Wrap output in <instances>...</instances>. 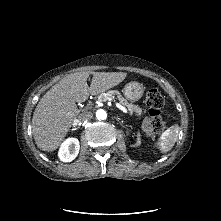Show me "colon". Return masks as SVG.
<instances>
[{"label": "colon", "mask_w": 221, "mask_h": 221, "mask_svg": "<svg viewBox=\"0 0 221 221\" xmlns=\"http://www.w3.org/2000/svg\"><path fill=\"white\" fill-rule=\"evenodd\" d=\"M146 106L150 115L149 128L155 134H160L165 128L162 118L164 98L157 89H151L146 95Z\"/></svg>", "instance_id": "1"}]
</instances>
